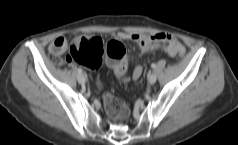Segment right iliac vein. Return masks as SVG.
<instances>
[{"label": "right iliac vein", "instance_id": "right-iliac-vein-1", "mask_svg": "<svg viewBox=\"0 0 238 145\" xmlns=\"http://www.w3.org/2000/svg\"><path fill=\"white\" fill-rule=\"evenodd\" d=\"M77 80L80 84H84L86 82V78L83 74H79Z\"/></svg>", "mask_w": 238, "mask_h": 145}]
</instances>
